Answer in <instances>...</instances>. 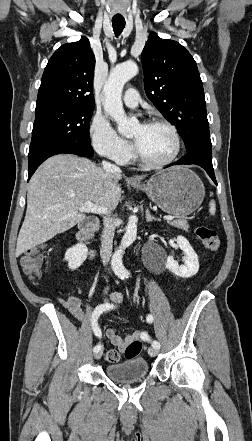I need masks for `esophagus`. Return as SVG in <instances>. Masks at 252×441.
<instances>
[{
    "label": "esophagus",
    "instance_id": "obj_1",
    "mask_svg": "<svg viewBox=\"0 0 252 441\" xmlns=\"http://www.w3.org/2000/svg\"><path fill=\"white\" fill-rule=\"evenodd\" d=\"M129 181L136 183V182H139V179L137 177H135V176H132V177H130Z\"/></svg>",
    "mask_w": 252,
    "mask_h": 441
}]
</instances>
